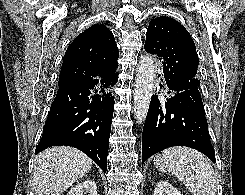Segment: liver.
Segmentation results:
<instances>
[{"label": "liver", "mask_w": 245, "mask_h": 195, "mask_svg": "<svg viewBox=\"0 0 245 195\" xmlns=\"http://www.w3.org/2000/svg\"><path fill=\"white\" fill-rule=\"evenodd\" d=\"M91 167L92 160L76 148H49L35 159L34 190L37 195H61Z\"/></svg>", "instance_id": "6515ba94"}]
</instances>
